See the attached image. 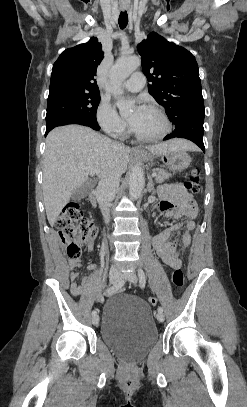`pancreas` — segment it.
Returning a JSON list of instances; mask_svg holds the SVG:
<instances>
[{
	"label": "pancreas",
	"instance_id": "pancreas-1",
	"mask_svg": "<svg viewBox=\"0 0 247 407\" xmlns=\"http://www.w3.org/2000/svg\"><path fill=\"white\" fill-rule=\"evenodd\" d=\"M153 172L157 173V175L155 176V181L157 183H162L165 180H167L169 177H171V174L168 171L161 169V168L153 169Z\"/></svg>",
	"mask_w": 247,
	"mask_h": 407
}]
</instances>
